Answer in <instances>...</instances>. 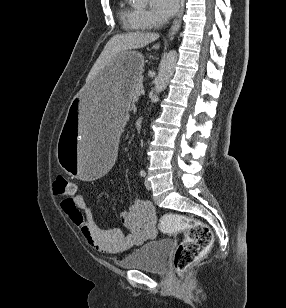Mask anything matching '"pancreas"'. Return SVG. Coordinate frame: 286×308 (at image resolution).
I'll use <instances>...</instances> for the list:
<instances>
[{
  "label": "pancreas",
  "instance_id": "1",
  "mask_svg": "<svg viewBox=\"0 0 286 308\" xmlns=\"http://www.w3.org/2000/svg\"><path fill=\"white\" fill-rule=\"evenodd\" d=\"M143 88V85H142V79L140 78L136 83L135 85L133 86V89H132V92H131V97L133 99H137L141 93V89Z\"/></svg>",
  "mask_w": 286,
  "mask_h": 308
}]
</instances>
